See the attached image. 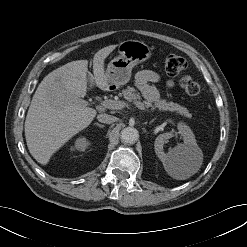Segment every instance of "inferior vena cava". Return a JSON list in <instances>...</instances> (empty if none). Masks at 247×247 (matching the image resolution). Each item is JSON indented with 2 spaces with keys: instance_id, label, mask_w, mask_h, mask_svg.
I'll return each mask as SVG.
<instances>
[{
  "instance_id": "inferior-vena-cava-1",
  "label": "inferior vena cava",
  "mask_w": 247,
  "mask_h": 247,
  "mask_svg": "<svg viewBox=\"0 0 247 247\" xmlns=\"http://www.w3.org/2000/svg\"><path fill=\"white\" fill-rule=\"evenodd\" d=\"M97 119L101 123L111 124L117 120V118L113 115H109L106 113L99 114Z\"/></svg>"
}]
</instances>
